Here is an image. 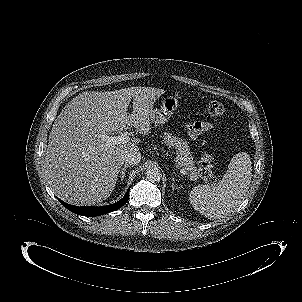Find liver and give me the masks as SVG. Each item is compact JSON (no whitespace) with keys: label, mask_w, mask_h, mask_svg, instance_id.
<instances>
[{"label":"liver","mask_w":302,"mask_h":302,"mask_svg":"<svg viewBox=\"0 0 302 302\" xmlns=\"http://www.w3.org/2000/svg\"><path fill=\"white\" fill-rule=\"evenodd\" d=\"M161 89L137 87L115 91H86L73 98L56 118L49 134L44 171L53 192L67 203L94 205L115 188L127 151L134 142L106 147L104 136L132 126L147 135L152 101ZM133 99V112L128 106ZM139 142V140H135Z\"/></svg>","instance_id":"obj_1"}]
</instances>
